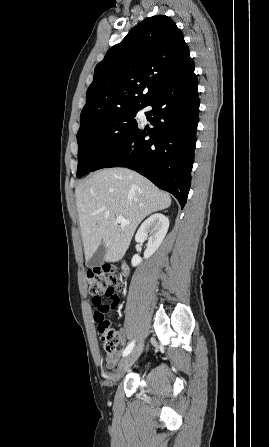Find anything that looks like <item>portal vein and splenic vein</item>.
Returning <instances> with one entry per match:
<instances>
[{"label":"portal vein and splenic vein","instance_id":"obj_1","mask_svg":"<svg viewBox=\"0 0 269 447\" xmlns=\"http://www.w3.org/2000/svg\"><path fill=\"white\" fill-rule=\"evenodd\" d=\"M116 222H117V224H122V225L130 224L129 220H125L124 216H117Z\"/></svg>","mask_w":269,"mask_h":447}]
</instances>
